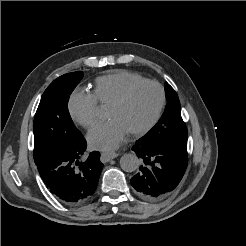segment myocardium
Returning a JSON list of instances; mask_svg holds the SVG:
<instances>
[{
    "mask_svg": "<svg viewBox=\"0 0 246 246\" xmlns=\"http://www.w3.org/2000/svg\"><path fill=\"white\" fill-rule=\"evenodd\" d=\"M154 85L158 88L159 93H160V100H159V104L158 107L156 109V112L154 114V116L151 118V120L144 125L143 127L131 131L130 134L133 136H142L144 134H146L147 132H149L158 122V120L161 117V114L164 110L165 107V103H166V94H165V90L164 87L161 85V83H159L156 80H152V79H143L141 81H138L136 83L131 84L130 86H128L122 93L121 95L109 106V108H117L121 105H123L131 96V94L138 89L139 87L143 86V85Z\"/></svg>",
    "mask_w": 246,
    "mask_h": 246,
    "instance_id": "f54148a6",
    "label": "myocardium"
}]
</instances>
